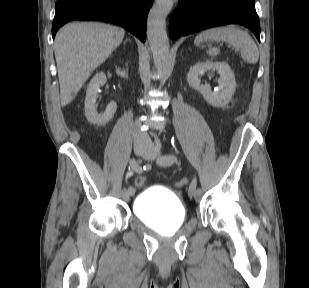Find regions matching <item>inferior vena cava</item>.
<instances>
[{
  "mask_svg": "<svg viewBox=\"0 0 309 288\" xmlns=\"http://www.w3.org/2000/svg\"><path fill=\"white\" fill-rule=\"evenodd\" d=\"M134 143L135 144H149L150 137L146 132H142L139 129L138 122H136V127L134 130Z\"/></svg>",
  "mask_w": 309,
  "mask_h": 288,
  "instance_id": "obj_1",
  "label": "inferior vena cava"
}]
</instances>
